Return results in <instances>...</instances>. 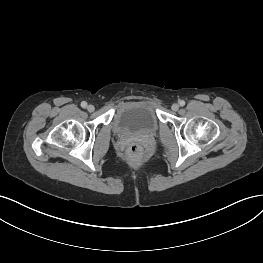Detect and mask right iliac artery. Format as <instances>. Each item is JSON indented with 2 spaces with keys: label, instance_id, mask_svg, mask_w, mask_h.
Wrapping results in <instances>:
<instances>
[{
  "label": "right iliac artery",
  "instance_id": "1",
  "mask_svg": "<svg viewBox=\"0 0 263 263\" xmlns=\"http://www.w3.org/2000/svg\"><path fill=\"white\" fill-rule=\"evenodd\" d=\"M81 107L82 108H86L87 107V103L85 101L81 102Z\"/></svg>",
  "mask_w": 263,
  "mask_h": 263
}]
</instances>
